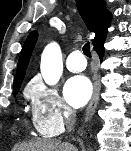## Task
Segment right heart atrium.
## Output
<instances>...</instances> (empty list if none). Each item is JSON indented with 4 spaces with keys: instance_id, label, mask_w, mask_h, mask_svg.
<instances>
[{
    "instance_id": "obj_1",
    "label": "right heart atrium",
    "mask_w": 131,
    "mask_h": 151,
    "mask_svg": "<svg viewBox=\"0 0 131 151\" xmlns=\"http://www.w3.org/2000/svg\"><path fill=\"white\" fill-rule=\"evenodd\" d=\"M27 95L31 100L33 122L40 135L56 136L73 119V111L64 103L56 88L34 80L27 89Z\"/></svg>"
}]
</instances>
